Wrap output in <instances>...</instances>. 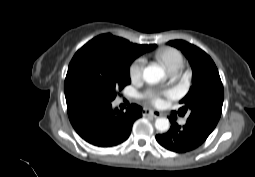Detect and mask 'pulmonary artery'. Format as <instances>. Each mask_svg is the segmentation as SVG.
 Returning a JSON list of instances; mask_svg holds the SVG:
<instances>
[{"mask_svg": "<svg viewBox=\"0 0 255 177\" xmlns=\"http://www.w3.org/2000/svg\"><path fill=\"white\" fill-rule=\"evenodd\" d=\"M185 123H186V119L185 118L180 120V124L184 125Z\"/></svg>", "mask_w": 255, "mask_h": 177, "instance_id": "e3ab8cb5", "label": "pulmonary artery"}]
</instances>
